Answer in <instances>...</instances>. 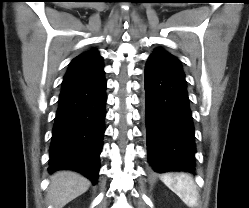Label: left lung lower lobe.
Masks as SVG:
<instances>
[{
  "mask_svg": "<svg viewBox=\"0 0 249 208\" xmlns=\"http://www.w3.org/2000/svg\"><path fill=\"white\" fill-rule=\"evenodd\" d=\"M148 162L156 173H195V136L182 67L149 57L145 68Z\"/></svg>",
  "mask_w": 249,
  "mask_h": 208,
  "instance_id": "left-lung-lower-lobe-1",
  "label": "left lung lower lobe"
}]
</instances>
